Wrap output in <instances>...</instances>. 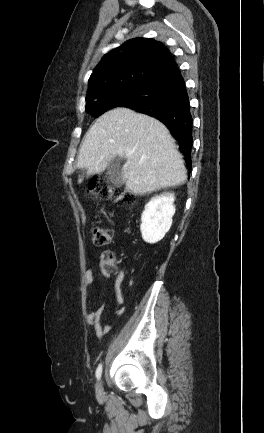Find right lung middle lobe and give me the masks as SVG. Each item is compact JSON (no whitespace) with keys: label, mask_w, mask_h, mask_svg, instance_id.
Here are the masks:
<instances>
[{"label":"right lung middle lobe","mask_w":264,"mask_h":433,"mask_svg":"<svg viewBox=\"0 0 264 433\" xmlns=\"http://www.w3.org/2000/svg\"><path fill=\"white\" fill-rule=\"evenodd\" d=\"M141 85L128 86L101 97L86 99V111L98 117L112 108L123 107L138 93Z\"/></svg>","instance_id":"right-lung-middle-lobe-1"}]
</instances>
